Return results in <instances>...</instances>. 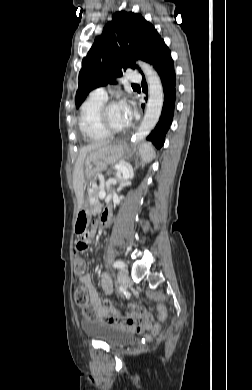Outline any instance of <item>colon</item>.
Returning a JSON list of instances; mask_svg holds the SVG:
<instances>
[{"label": "colon", "instance_id": "obj_1", "mask_svg": "<svg viewBox=\"0 0 252 390\" xmlns=\"http://www.w3.org/2000/svg\"><path fill=\"white\" fill-rule=\"evenodd\" d=\"M85 222H81L80 226L77 227V232L82 235L81 239L76 244V253L74 256V272L76 275H82L86 270V261L83 253L85 252L88 246V237L87 231L85 230ZM74 301L75 303L83 308V312L87 318H92L95 316L94 308L89 305V294L88 290L84 285H79L74 291ZM105 305L111 307V304L108 300H105ZM106 321L114 324L121 325L125 321V317L118 310H112L111 314L106 317ZM159 329V324L154 328L156 333Z\"/></svg>", "mask_w": 252, "mask_h": 390}]
</instances>
